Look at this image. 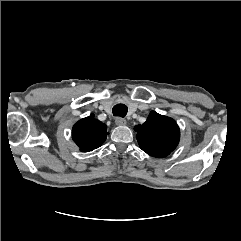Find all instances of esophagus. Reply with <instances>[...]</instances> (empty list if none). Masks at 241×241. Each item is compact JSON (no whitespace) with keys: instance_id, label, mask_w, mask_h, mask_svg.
I'll use <instances>...</instances> for the list:
<instances>
[{"instance_id":"esophagus-1","label":"esophagus","mask_w":241,"mask_h":241,"mask_svg":"<svg viewBox=\"0 0 241 241\" xmlns=\"http://www.w3.org/2000/svg\"><path fill=\"white\" fill-rule=\"evenodd\" d=\"M115 123H116V125H118V126H123V125H126L127 121H126L124 118L117 117V118L115 119Z\"/></svg>"}]
</instances>
